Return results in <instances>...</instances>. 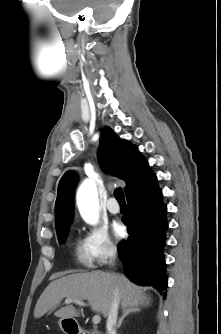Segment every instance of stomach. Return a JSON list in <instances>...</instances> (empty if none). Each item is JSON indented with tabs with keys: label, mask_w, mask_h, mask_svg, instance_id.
Wrapping results in <instances>:
<instances>
[{
	"label": "stomach",
	"mask_w": 221,
	"mask_h": 334,
	"mask_svg": "<svg viewBox=\"0 0 221 334\" xmlns=\"http://www.w3.org/2000/svg\"><path fill=\"white\" fill-rule=\"evenodd\" d=\"M59 327L64 331L66 334L69 332L70 328H76L77 329V323L74 320H68L61 318L58 321Z\"/></svg>",
	"instance_id": "obj_1"
}]
</instances>
